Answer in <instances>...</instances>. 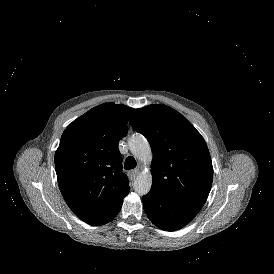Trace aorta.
<instances>
[{
	"label": "aorta",
	"mask_w": 274,
	"mask_h": 274,
	"mask_svg": "<svg viewBox=\"0 0 274 274\" xmlns=\"http://www.w3.org/2000/svg\"><path fill=\"white\" fill-rule=\"evenodd\" d=\"M131 153L139 160L150 163L152 160L151 147L142 134H135L128 140ZM152 186V175L150 172L140 173L133 184L134 190L139 195H146Z\"/></svg>",
	"instance_id": "762f6f07"
}]
</instances>
